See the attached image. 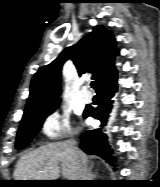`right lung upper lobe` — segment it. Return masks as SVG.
<instances>
[{
    "label": "right lung upper lobe",
    "instance_id": "right-lung-upper-lobe-1",
    "mask_svg": "<svg viewBox=\"0 0 160 187\" xmlns=\"http://www.w3.org/2000/svg\"><path fill=\"white\" fill-rule=\"evenodd\" d=\"M118 54L112 32L102 25L96 26L76 45L66 48L54 61L37 71L31 82L24 114L59 104L61 70L66 60L73 61L79 75L90 73L96 90L101 82L117 73L114 62Z\"/></svg>",
    "mask_w": 160,
    "mask_h": 187
}]
</instances>
